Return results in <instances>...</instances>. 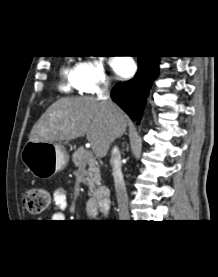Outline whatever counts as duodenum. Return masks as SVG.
Returning <instances> with one entry per match:
<instances>
[{
	"mask_svg": "<svg viewBox=\"0 0 218 277\" xmlns=\"http://www.w3.org/2000/svg\"><path fill=\"white\" fill-rule=\"evenodd\" d=\"M110 189L100 187L95 191L94 201L102 211H107L110 207Z\"/></svg>",
	"mask_w": 218,
	"mask_h": 277,
	"instance_id": "1",
	"label": "duodenum"
}]
</instances>
